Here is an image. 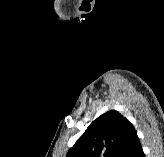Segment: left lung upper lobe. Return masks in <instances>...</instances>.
Wrapping results in <instances>:
<instances>
[{
    "mask_svg": "<svg viewBox=\"0 0 164 157\" xmlns=\"http://www.w3.org/2000/svg\"><path fill=\"white\" fill-rule=\"evenodd\" d=\"M135 134L133 125L111 110L88 126L66 157H120Z\"/></svg>",
    "mask_w": 164,
    "mask_h": 157,
    "instance_id": "obj_1",
    "label": "left lung upper lobe"
}]
</instances>
